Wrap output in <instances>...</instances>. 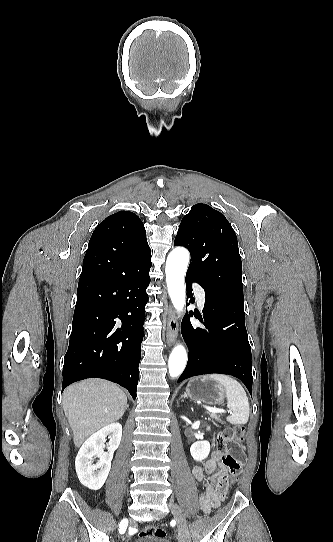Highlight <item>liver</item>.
Listing matches in <instances>:
<instances>
[{
	"label": "liver",
	"mask_w": 333,
	"mask_h": 542,
	"mask_svg": "<svg viewBox=\"0 0 333 542\" xmlns=\"http://www.w3.org/2000/svg\"><path fill=\"white\" fill-rule=\"evenodd\" d=\"M126 404L123 390L105 380H83L69 386L63 394V410L76 448L100 428L120 420Z\"/></svg>",
	"instance_id": "obj_1"
}]
</instances>
